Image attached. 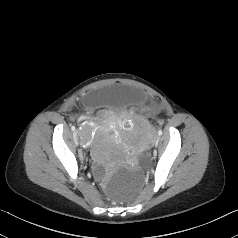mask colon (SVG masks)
Listing matches in <instances>:
<instances>
[{
	"label": "colon",
	"instance_id": "1",
	"mask_svg": "<svg viewBox=\"0 0 238 238\" xmlns=\"http://www.w3.org/2000/svg\"><path fill=\"white\" fill-rule=\"evenodd\" d=\"M98 186L101 189H106L109 186V181L107 179H102L99 183Z\"/></svg>",
	"mask_w": 238,
	"mask_h": 238
}]
</instances>
